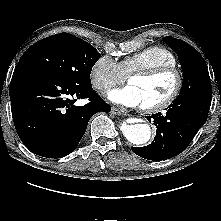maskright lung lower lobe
Masks as SVG:
<instances>
[{
    "mask_svg": "<svg viewBox=\"0 0 221 221\" xmlns=\"http://www.w3.org/2000/svg\"><path fill=\"white\" fill-rule=\"evenodd\" d=\"M12 117L24 145L34 154L61 158L78 146L88 121L111 107L91 87L62 81L28 64H17L9 89ZM89 103L75 106L77 99Z\"/></svg>",
    "mask_w": 221,
    "mask_h": 221,
    "instance_id": "right-lung-lower-lobe-1",
    "label": "right lung lower lobe"
}]
</instances>
